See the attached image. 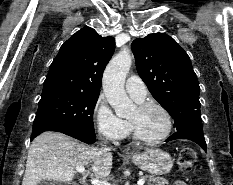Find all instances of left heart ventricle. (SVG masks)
I'll list each match as a JSON object with an SVG mask.
<instances>
[{"label":"left heart ventricle","mask_w":233,"mask_h":185,"mask_svg":"<svg viewBox=\"0 0 233 185\" xmlns=\"http://www.w3.org/2000/svg\"><path fill=\"white\" fill-rule=\"evenodd\" d=\"M128 119L134 122L139 132L146 138H157L167 128L165 115L162 111L153 107L145 110H139L135 107Z\"/></svg>","instance_id":"obj_1"}]
</instances>
